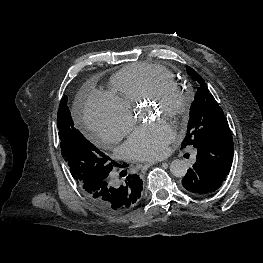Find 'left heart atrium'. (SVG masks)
I'll use <instances>...</instances> for the list:
<instances>
[{
    "mask_svg": "<svg viewBox=\"0 0 263 263\" xmlns=\"http://www.w3.org/2000/svg\"><path fill=\"white\" fill-rule=\"evenodd\" d=\"M173 138L171 126L163 120H156L133 131L122 150L127 157L137 161L155 160L166 153Z\"/></svg>",
    "mask_w": 263,
    "mask_h": 263,
    "instance_id": "obj_1",
    "label": "left heart atrium"
}]
</instances>
